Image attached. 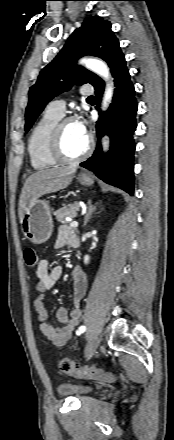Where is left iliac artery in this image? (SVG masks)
I'll use <instances>...</instances> for the list:
<instances>
[{
    "instance_id": "1",
    "label": "left iliac artery",
    "mask_w": 174,
    "mask_h": 440,
    "mask_svg": "<svg viewBox=\"0 0 174 440\" xmlns=\"http://www.w3.org/2000/svg\"><path fill=\"white\" fill-rule=\"evenodd\" d=\"M85 330H86V327L85 326H81V327H79V329L77 330L76 333H77V335H80V334L84 333Z\"/></svg>"
}]
</instances>
